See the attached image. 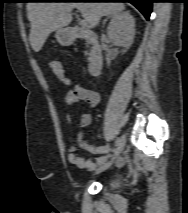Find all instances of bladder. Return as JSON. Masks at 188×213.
I'll return each mask as SVG.
<instances>
[{
	"instance_id": "obj_1",
	"label": "bladder",
	"mask_w": 188,
	"mask_h": 213,
	"mask_svg": "<svg viewBox=\"0 0 188 213\" xmlns=\"http://www.w3.org/2000/svg\"><path fill=\"white\" fill-rule=\"evenodd\" d=\"M116 184H117L116 181H112V182H111V185H112V186H116Z\"/></svg>"
}]
</instances>
